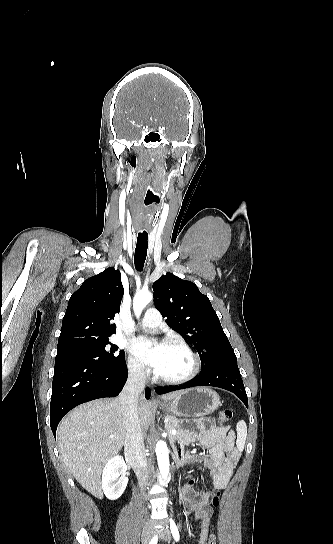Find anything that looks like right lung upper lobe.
<instances>
[{
    "instance_id": "obj_1",
    "label": "right lung upper lobe",
    "mask_w": 333,
    "mask_h": 544,
    "mask_svg": "<svg viewBox=\"0 0 333 544\" xmlns=\"http://www.w3.org/2000/svg\"><path fill=\"white\" fill-rule=\"evenodd\" d=\"M123 294L120 272L112 267L85 280L69 299L57 348L109 338L116 333V325L110 321L120 311Z\"/></svg>"
}]
</instances>
